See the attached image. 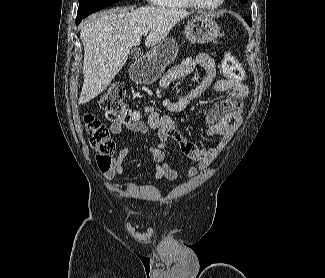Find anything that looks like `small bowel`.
<instances>
[{"label":"small bowel","mask_w":325,"mask_h":278,"mask_svg":"<svg viewBox=\"0 0 325 278\" xmlns=\"http://www.w3.org/2000/svg\"><path fill=\"white\" fill-rule=\"evenodd\" d=\"M198 68L205 70L204 77L185 95L178 100L163 98L164 108L171 113L183 112L202 93L212 88L218 92H227L226 99L214 103L206 114L207 133L209 136H220V141L210 149H204L189 141L179 130L176 121L167 114L157 111L152 112L147 121H134L128 124L112 123L111 132L119 135L123 131L147 134L155 131L158 135L156 145L150 149L152 164L155 168L157 179L165 178L170 181L178 180L180 174L171 168L167 162L165 149L168 140L175 141L179 150L198 166H188L185 176L195 177L200 170H205L212 162L216 154L224 148L234 136L235 131L242 123V103L248 96V88L242 82H234L229 79H217V69L214 59L206 53H200L195 57H187L182 62L172 67L160 82L161 92L164 93L169 84L183 78ZM130 154V149L124 147L112 159L111 166L104 172V177L111 180L124 174V162Z\"/></svg>","instance_id":"obj_1"}]
</instances>
